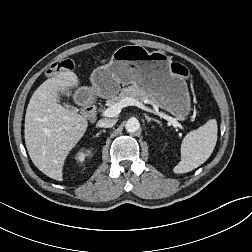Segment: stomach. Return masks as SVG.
Returning a JSON list of instances; mask_svg holds the SVG:
<instances>
[{"instance_id":"1","label":"stomach","mask_w":252,"mask_h":252,"mask_svg":"<svg viewBox=\"0 0 252 252\" xmlns=\"http://www.w3.org/2000/svg\"><path fill=\"white\" fill-rule=\"evenodd\" d=\"M171 61L162 51L149 52L140 45L118 48L108 64L91 74L92 90L100 97L110 98L120 90V84H133L149 94V98L177 119L191 111V101L184 78L173 74ZM88 91L79 88L77 92Z\"/></svg>"}]
</instances>
